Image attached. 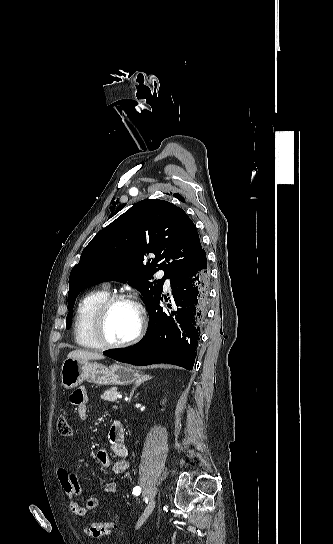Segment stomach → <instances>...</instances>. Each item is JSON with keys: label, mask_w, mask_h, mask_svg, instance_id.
I'll return each mask as SVG.
<instances>
[{"label": "stomach", "mask_w": 333, "mask_h": 544, "mask_svg": "<svg viewBox=\"0 0 333 544\" xmlns=\"http://www.w3.org/2000/svg\"><path fill=\"white\" fill-rule=\"evenodd\" d=\"M142 377L139 371L122 364L106 367L97 362L69 358L61 367V382L66 389L75 388L84 380L98 385H128Z\"/></svg>", "instance_id": "0dacf381"}]
</instances>
